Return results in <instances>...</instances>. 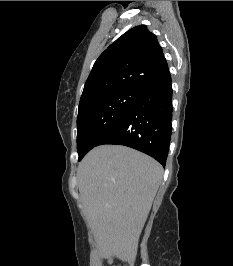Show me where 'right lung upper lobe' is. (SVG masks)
<instances>
[{
    "label": "right lung upper lobe",
    "instance_id": "cb5924a9",
    "mask_svg": "<svg viewBox=\"0 0 233 266\" xmlns=\"http://www.w3.org/2000/svg\"><path fill=\"white\" fill-rule=\"evenodd\" d=\"M168 72L156 36L145 25L136 26L119 37L96 60L80 103L121 89L144 91Z\"/></svg>",
    "mask_w": 233,
    "mask_h": 266
}]
</instances>
